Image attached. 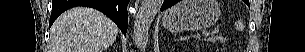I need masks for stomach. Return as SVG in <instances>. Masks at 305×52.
Wrapping results in <instances>:
<instances>
[{"label": "stomach", "instance_id": "obj_1", "mask_svg": "<svg viewBox=\"0 0 305 52\" xmlns=\"http://www.w3.org/2000/svg\"><path fill=\"white\" fill-rule=\"evenodd\" d=\"M220 17L216 0H183L163 16V26L171 32L195 31L211 27Z\"/></svg>", "mask_w": 305, "mask_h": 52}]
</instances>
